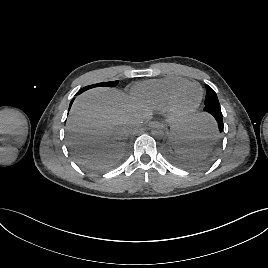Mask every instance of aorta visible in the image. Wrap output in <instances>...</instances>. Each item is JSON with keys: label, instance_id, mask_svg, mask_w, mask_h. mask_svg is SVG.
<instances>
[{"label": "aorta", "instance_id": "aorta-1", "mask_svg": "<svg viewBox=\"0 0 268 268\" xmlns=\"http://www.w3.org/2000/svg\"><path fill=\"white\" fill-rule=\"evenodd\" d=\"M165 132L161 127H157L151 131V135L154 138L160 139L164 136Z\"/></svg>", "mask_w": 268, "mask_h": 268}]
</instances>
